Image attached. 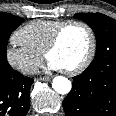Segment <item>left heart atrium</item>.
Listing matches in <instances>:
<instances>
[{"instance_id": "39dd6f15", "label": "left heart atrium", "mask_w": 116, "mask_h": 116, "mask_svg": "<svg viewBox=\"0 0 116 116\" xmlns=\"http://www.w3.org/2000/svg\"><path fill=\"white\" fill-rule=\"evenodd\" d=\"M47 70H49V71H60V70H63V68L56 61L48 59Z\"/></svg>"}]
</instances>
